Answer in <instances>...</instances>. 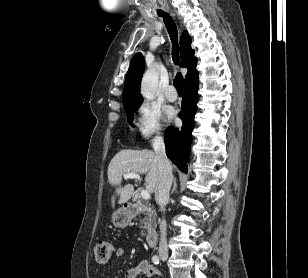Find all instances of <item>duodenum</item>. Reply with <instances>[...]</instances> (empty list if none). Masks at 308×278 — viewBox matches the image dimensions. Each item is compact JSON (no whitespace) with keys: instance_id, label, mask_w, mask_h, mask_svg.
<instances>
[{"instance_id":"obj_1","label":"duodenum","mask_w":308,"mask_h":278,"mask_svg":"<svg viewBox=\"0 0 308 278\" xmlns=\"http://www.w3.org/2000/svg\"><path fill=\"white\" fill-rule=\"evenodd\" d=\"M138 205L135 203L125 204L124 210L128 216H133L138 212ZM147 243L149 246H154L158 241V232L156 230H151L148 232L146 237Z\"/></svg>"}]
</instances>
